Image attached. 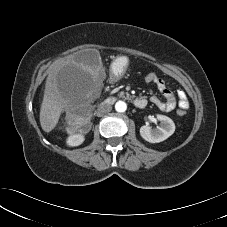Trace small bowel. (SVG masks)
Masks as SVG:
<instances>
[{"instance_id":"small-bowel-1","label":"small bowel","mask_w":227,"mask_h":227,"mask_svg":"<svg viewBox=\"0 0 227 227\" xmlns=\"http://www.w3.org/2000/svg\"><path fill=\"white\" fill-rule=\"evenodd\" d=\"M154 84L157 86L158 90L164 96L165 100L162 101L157 96H152L150 98V101L155 106H157L160 110L165 112H170L174 110L177 105L180 109L186 110L189 108V102L184 91L179 90L177 92V95H178V103H177L175 95L170 89L167 88L163 79L158 77Z\"/></svg>"}]
</instances>
